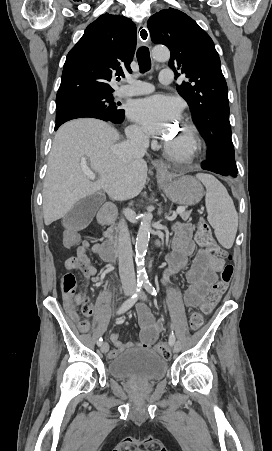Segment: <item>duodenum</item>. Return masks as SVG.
I'll return each instance as SVG.
<instances>
[{
	"label": "duodenum",
	"mask_w": 272,
	"mask_h": 451,
	"mask_svg": "<svg viewBox=\"0 0 272 451\" xmlns=\"http://www.w3.org/2000/svg\"><path fill=\"white\" fill-rule=\"evenodd\" d=\"M116 216V208L114 205L107 203L100 210L97 217V225L98 226H106L109 225ZM159 245V243H157ZM98 254L100 257L106 262H113L117 258V246L116 244L108 240L99 246Z\"/></svg>",
	"instance_id": "duodenum-1"
}]
</instances>
